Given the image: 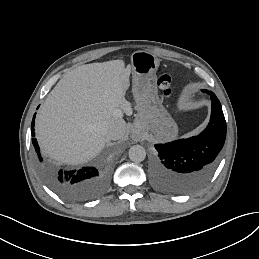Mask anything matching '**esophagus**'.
I'll return each mask as SVG.
<instances>
[{
  "instance_id": "esophagus-1",
  "label": "esophagus",
  "mask_w": 259,
  "mask_h": 259,
  "mask_svg": "<svg viewBox=\"0 0 259 259\" xmlns=\"http://www.w3.org/2000/svg\"><path fill=\"white\" fill-rule=\"evenodd\" d=\"M130 137L132 138V140H134L136 142H138V141H140L144 138L143 132H142L141 127L139 125L133 126V128L131 130Z\"/></svg>"
}]
</instances>
